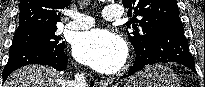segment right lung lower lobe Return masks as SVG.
Instances as JSON below:
<instances>
[{"instance_id":"right-lung-lower-lobe-1","label":"right lung lower lobe","mask_w":205,"mask_h":87,"mask_svg":"<svg viewBox=\"0 0 205 87\" xmlns=\"http://www.w3.org/2000/svg\"><path fill=\"white\" fill-rule=\"evenodd\" d=\"M68 57L61 49H50L36 44L13 45L10 48L9 60L3 70V83L8 75L28 64L49 65L58 71L66 69ZM93 85V82H91Z\"/></svg>"}]
</instances>
